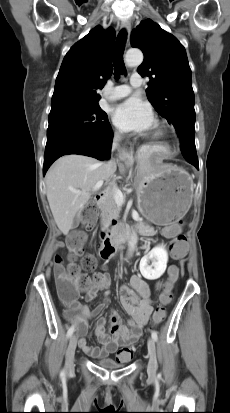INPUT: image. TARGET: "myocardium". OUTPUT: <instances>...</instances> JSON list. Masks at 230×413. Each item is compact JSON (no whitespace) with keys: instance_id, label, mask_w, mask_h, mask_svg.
<instances>
[{"instance_id":"f54148a6","label":"myocardium","mask_w":230,"mask_h":413,"mask_svg":"<svg viewBox=\"0 0 230 413\" xmlns=\"http://www.w3.org/2000/svg\"><path fill=\"white\" fill-rule=\"evenodd\" d=\"M161 134H162L161 130H159V129L157 128V130L155 131L154 135H155V136H160Z\"/></svg>"}]
</instances>
